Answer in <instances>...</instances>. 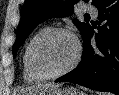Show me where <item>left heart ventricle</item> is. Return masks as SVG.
I'll list each match as a JSON object with an SVG mask.
<instances>
[{
	"label": "left heart ventricle",
	"mask_w": 119,
	"mask_h": 95,
	"mask_svg": "<svg viewBox=\"0 0 119 95\" xmlns=\"http://www.w3.org/2000/svg\"><path fill=\"white\" fill-rule=\"evenodd\" d=\"M74 40L59 34L45 41L38 51V63L48 73L58 72L67 67L75 57Z\"/></svg>",
	"instance_id": "left-heart-ventricle-1"
}]
</instances>
